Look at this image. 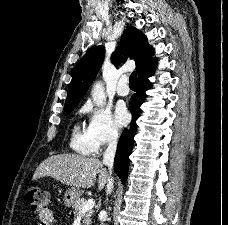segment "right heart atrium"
Wrapping results in <instances>:
<instances>
[{"instance_id": "right-heart-atrium-1", "label": "right heart atrium", "mask_w": 228, "mask_h": 225, "mask_svg": "<svg viewBox=\"0 0 228 225\" xmlns=\"http://www.w3.org/2000/svg\"><path fill=\"white\" fill-rule=\"evenodd\" d=\"M79 112L86 118L85 132L97 149L117 141L119 133L108 110L86 101Z\"/></svg>"}]
</instances>
